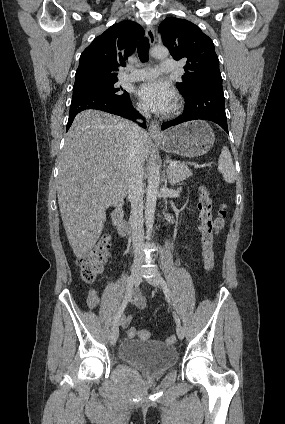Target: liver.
I'll return each mask as SVG.
<instances>
[{
    "mask_svg": "<svg viewBox=\"0 0 285 424\" xmlns=\"http://www.w3.org/2000/svg\"><path fill=\"white\" fill-rule=\"evenodd\" d=\"M131 125L110 113L85 110L75 117L66 135L59 156L57 196L76 257L92 249L103 230L106 209L128 193ZM151 143L144 132L142 164L149 156Z\"/></svg>",
    "mask_w": 285,
    "mask_h": 424,
    "instance_id": "1",
    "label": "liver"
}]
</instances>
